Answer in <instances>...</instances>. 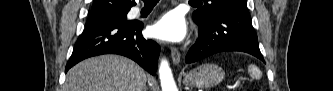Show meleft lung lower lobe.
Returning a JSON list of instances; mask_svg holds the SVG:
<instances>
[{"mask_svg":"<svg viewBox=\"0 0 333 91\" xmlns=\"http://www.w3.org/2000/svg\"><path fill=\"white\" fill-rule=\"evenodd\" d=\"M197 26L199 37L186 55L187 63L224 51L246 52L264 62L248 8L221 9Z\"/></svg>","mask_w":333,"mask_h":91,"instance_id":"left-lung-lower-lobe-1","label":"left lung lower lobe"}]
</instances>
